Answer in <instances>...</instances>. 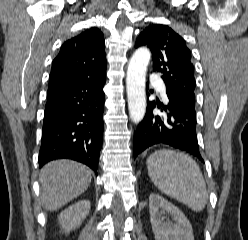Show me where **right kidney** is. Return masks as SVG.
Returning <instances> with one entry per match:
<instances>
[{
	"mask_svg": "<svg viewBox=\"0 0 248 240\" xmlns=\"http://www.w3.org/2000/svg\"><path fill=\"white\" fill-rule=\"evenodd\" d=\"M90 211V201L81 200L62 211L58 217L65 233L79 227Z\"/></svg>",
	"mask_w": 248,
	"mask_h": 240,
	"instance_id": "right-kidney-1",
	"label": "right kidney"
}]
</instances>
